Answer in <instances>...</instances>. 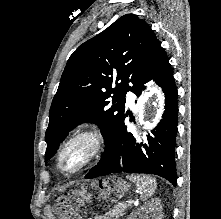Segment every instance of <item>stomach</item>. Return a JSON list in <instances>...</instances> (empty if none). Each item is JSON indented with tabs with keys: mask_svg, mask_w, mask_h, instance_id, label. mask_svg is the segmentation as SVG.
I'll list each match as a JSON object with an SVG mask.
<instances>
[{
	"mask_svg": "<svg viewBox=\"0 0 221 219\" xmlns=\"http://www.w3.org/2000/svg\"><path fill=\"white\" fill-rule=\"evenodd\" d=\"M109 183H113L112 186ZM94 189L86 190L81 187V190H58V195H63V199H122L126 195V183L121 182L120 178L113 176L112 178H96V182L91 184ZM83 202L82 200L80 201Z\"/></svg>",
	"mask_w": 221,
	"mask_h": 219,
	"instance_id": "obj_1",
	"label": "stomach"
}]
</instances>
